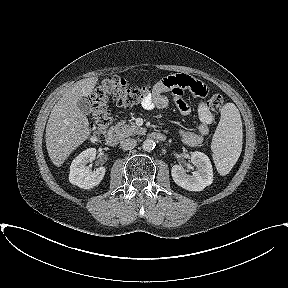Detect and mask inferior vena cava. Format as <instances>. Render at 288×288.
<instances>
[{
  "label": "inferior vena cava",
  "mask_w": 288,
  "mask_h": 288,
  "mask_svg": "<svg viewBox=\"0 0 288 288\" xmlns=\"http://www.w3.org/2000/svg\"><path fill=\"white\" fill-rule=\"evenodd\" d=\"M136 144H137V141L135 139L127 138V139L121 141L120 147L123 150H131L136 146Z\"/></svg>",
  "instance_id": "inferior-vena-cava-1"
}]
</instances>
